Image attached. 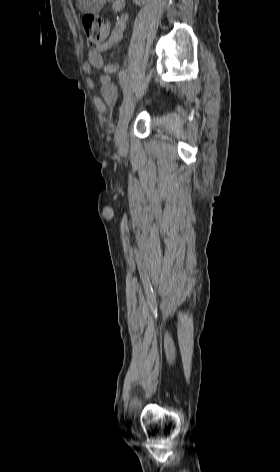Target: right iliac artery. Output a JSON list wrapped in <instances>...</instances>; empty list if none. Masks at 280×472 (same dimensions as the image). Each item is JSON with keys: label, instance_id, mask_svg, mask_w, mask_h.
<instances>
[{"label": "right iliac artery", "instance_id": "right-iliac-artery-1", "mask_svg": "<svg viewBox=\"0 0 280 472\" xmlns=\"http://www.w3.org/2000/svg\"><path fill=\"white\" fill-rule=\"evenodd\" d=\"M119 82L121 84V87L123 89V102L120 107V112L128 105V103L131 101V90L129 86V80H128V74L127 70L123 69L119 73Z\"/></svg>", "mask_w": 280, "mask_h": 472}]
</instances>
